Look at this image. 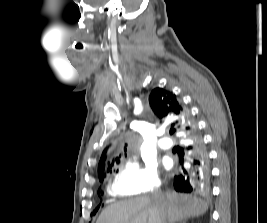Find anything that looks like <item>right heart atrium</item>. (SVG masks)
<instances>
[{
	"label": "right heart atrium",
	"mask_w": 267,
	"mask_h": 223,
	"mask_svg": "<svg viewBox=\"0 0 267 223\" xmlns=\"http://www.w3.org/2000/svg\"><path fill=\"white\" fill-rule=\"evenodd\" d=\"M160 184V176L153 164L128 160L119 167L111 190L121 195H142L150 193Z\"/></svg>",
	"instance_id": "obj_1"
}]
</instances>
